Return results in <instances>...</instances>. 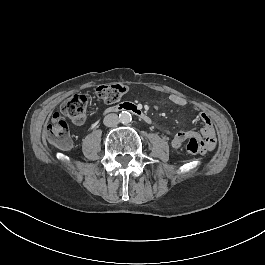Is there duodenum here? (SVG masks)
Segmentation results:
<instances>
[{
    "instance_id": "1",
    "label": "duodenum",
    "mask_w": 265,
    "mask_h": 265,
    "mask_svg": "<svg viewBox=\"0 0 265 265\" xmlns=\"http://www.w3.org/2000/svg\"><path fill=\"white\" fill-rule=\"evenodd\" d=\"M122 111L132 112L133 114L138 116L141 120H143L147 124H152L151 116L147 112L142 110L136 104L129 103V102L120 103V104L114 106L111 110L108 111V113L106 115H108L109 113H118V112H122Z\"/></svg>"
}]
</instances>
